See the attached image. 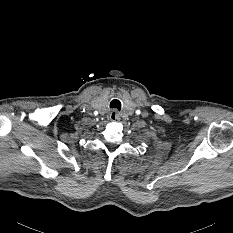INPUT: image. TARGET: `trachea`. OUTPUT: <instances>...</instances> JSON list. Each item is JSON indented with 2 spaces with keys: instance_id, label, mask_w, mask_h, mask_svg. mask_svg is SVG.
I'll return each instance as SVG.
<instances>
[{
  "instance_id": "3493384b",
  "label": "trachea",
  "mask_w": 233,
  "mask_h": 233,
  "mask_svg": "<svg viewBox=\"0 0 233 233\" xmlns=\"http://www.w3.org/2000/svg\"><path fill=\"white\" fill-rule=\"evenodd\" d=\"M110 108H115V109L120 110L121 102L117 98L112 99V101L110 102Z\"/></svg>"
}]
</instances>
